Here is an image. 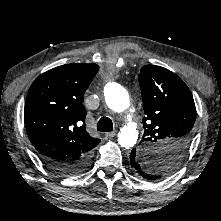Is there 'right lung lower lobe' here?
Here are the masks:
<instances>
[{
    "mask_svg": "<svg viewBox=\"0 0 221 221\" xmlns=\"http://www.w3.org/2000/svg\"><path fill=\"white\" fill-rule=\"evenodd\" d=\"M41 159L52 171L63 176L80 173L87 169L91 163V156L84 157L79 161H56L43 157Z\"/></svg>",
    "mask_w": 221,
    "mask_h": 221,
    "instance_id": "1",
    "label": "right lung lower lobe"
}]
</instances>
